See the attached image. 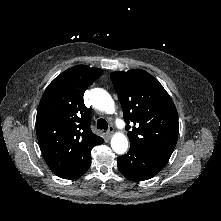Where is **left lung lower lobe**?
<instances>
[{
	"instance_id": "0a47b994",
	"label": "left lung lower lobe",
	"mask_w": 221,
	"mask_h": 221,
	"mask_svg": "<svg viewBox=\"0 0 221 221\" xmlns=\"http://www.w3.org/2000/svg\"><path fill=\"white\" fill-rule=\"evenodd\" d=\"M167 162L130 146L128 153L118 158L117 166L127 179L137 182L152 178Z\"/></svg>"
}]
</instances>
